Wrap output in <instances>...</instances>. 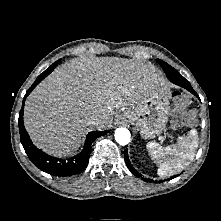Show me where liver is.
<instances>
[{
  "label": "liver",
  "mask_w": 221,
  "mask_h": 221,
  "mask_svg": "<svg viewBox=\"0 0 221 221\" xmlns=\"http://www.w3.org/2000/svg\"><path fill=\"white\" fill-rule=\"evenodd\" d=\"M166 89L152 64L84 56L58 66L33 90L25 103L24 125L38 148L66 157L80 146L88 119L97 117L99 129L109 128L115 109Z\"/></svg>",
  "instance_id": "obj_1"
}]
</instances>
